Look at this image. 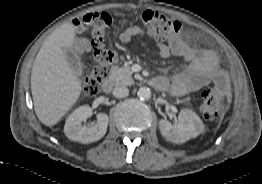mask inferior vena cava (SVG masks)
<instances>
[{"label":"inferior vena cava","instance_id":"inferior-vena-cava-1","mask_svg":"<svg viewBox=\"0 0 262 184\" xmlns=\"http://www.w3.org/2000/svg\"><path fill=\"white\" fill-rule=\"evenodd\" d=\"M129 95V90L126 87H116L113 90V96L116 98H124Z\"/></svg>","mask_w":262,"mask_h":184}]
</instances>
